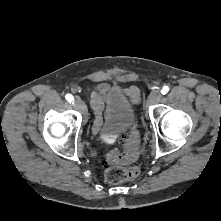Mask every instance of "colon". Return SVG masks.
<instances>
[{"label": "colon", "mask_w": 221, "mask_h": 221, "mask_svg": "<svg viewBox=\"0 0 221 221\" xmlns=\"http://www.w3.org/2000/svg\"><path fill=\"white\" fill-rule=\"evenodd\" d=\"M139 138L136 132L123 137L120 147L106 155L104 178L107 182L118 184L137 177L140 170L132 165L128 168L122 165L132 164L137 159Z\"/></svg>", "instance_id": "5ec220e1"}]
</instances>
